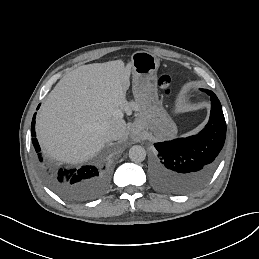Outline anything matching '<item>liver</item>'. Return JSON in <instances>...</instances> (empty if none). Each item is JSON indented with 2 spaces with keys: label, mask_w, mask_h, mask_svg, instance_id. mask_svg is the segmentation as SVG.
I'll use <instances>...</instances> for the list:
<instances>
[{
  "label": "liver",
  "mask_w": 259,
  "mask_h": 259,
  "mask_svg": "<svg viewBox=\"0 0 259 259\" xmlns=\"http://www.w3.org/2000/svg\"><path fill=\"white\" fill-rule=\"evenodd\" d=\"M132 63L121 60L81 66L65 75L44 101L36 121L44 152L63 162L94 156L105 143L104 121L129 113L126 93Z\"/></svg>",
  "instance_id": "liver-1"
}]
</instances>
